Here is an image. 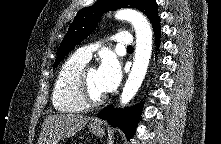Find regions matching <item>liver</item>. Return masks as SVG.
<instances>
[{
    "label": "liver",
    "mask_w": 221,
    "mask_h": 144,
    "mask_svg": "<svg viewBox=\"0 0 221 144\" xmlns=\"http://www.w3.org/2000/svg\"><path fill=\"white\" fill-rule=\"evenodd\" d=\"M89 120L80 114L49 115L44 119L39 144H58L83 129Z\"/></svg>",
    "instance_id": "1"
}]
</instances>
